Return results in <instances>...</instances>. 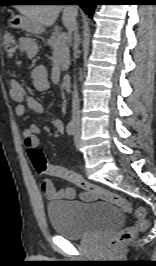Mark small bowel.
Instances as JSON below:
<instances>
[{
  "label": "small bowel",
  "mask_w": 156,
  "mask_h": 266,
  "mask_svg": "<svg viewBox=\"0 0 156 266\" xmlns=\"http://www.w3.org/2000/svg\"><path fill=\"white\" fill-rule=\"evenodd\" d=\"M20 51L25 53L28 57H35L38 52L36 42L29 37H22L19 45ZM33 83L37 90L44 91L49 88L48 71L44 66H38L32 73ZM9 95L11 99L16 103L15 113L18 117H22L26 108L32 110L37 114L44 112L43 105L34 97L27 95L23 86L17 80H11L9 83ZM57 132L63 131V125L60 121L54 120L51 122ZM41 129L36 124H31L23 131L24 146L29 152L34 148H38ZM42 189L45 196L50 200L66 199L72 200L76 196V191L72 187H65L57 189L51 179H45L42 183ZM81 199L86 202H91L96 199L93 195L83 192Z\"/></svg>",
  "instance_id": "1"
}]
</instances>
